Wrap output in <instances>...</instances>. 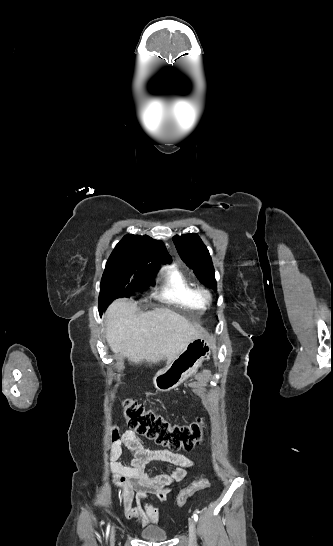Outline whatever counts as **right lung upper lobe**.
I'll return each mask as SVG.
<instances>
[{
  "label": "right lung upper lobe",
  "instance_id": "right-lung-upper-lobe-1",
  "mask_svg": "<svg viewBox=\"0 0 333 546\" xmlns=\"http://www.w3.org/2000/svg\"><path fill=\"white\" fill-rule=\"evenodd\" d=\"M108 260L124 264L129 271L143 273L157 272V263L170 262L171 257L162 241L147 235L127 234L116 245Z\"/></svg>",
  "mask_w": 333,
  "mask_h": 546
}]
</instances>
